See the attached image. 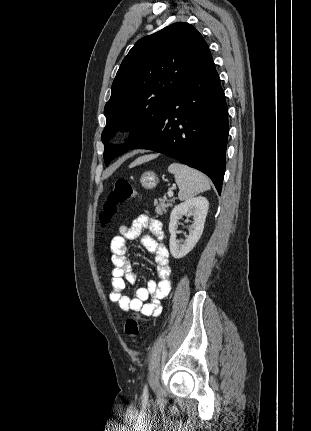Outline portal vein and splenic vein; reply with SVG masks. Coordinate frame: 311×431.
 <instances>
[{"mask_svg":"<svg viewBox=\"0 0 311 431\" xmlns=\"http://www.w3.org/2000/svg\"><path fill=\"white\" fill-rule=\"evenodd\" d=\"M173 190H174V188H172V190H168L167 194H168L169 198H172V196H174Z\"/></svg>","mask_w":311,"mask_h":431,"instance_id":"1","label":"portal vein and splenic vein"}]
</instances>
